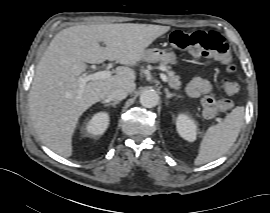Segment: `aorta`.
Instances as JSON below:
<instances>
[{
    "label": "aorta",
    "instance_id": "aorta-1",
    "mask_svg": "<svg viewBox=\"0 0 270 213\" xmlns=\"http://www.w3.org/2000/svg\"><path fill=\"white\" fill-rule=\"evenodd\" d=\"M159 102V95L153 89L145 90L140 95V103L147 108L155 107Z\"/></svg>",
    "mask_w": 270,
    "mask_h": 213
}]
</instances>
